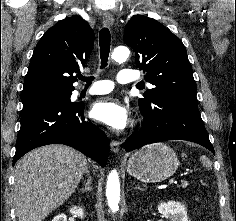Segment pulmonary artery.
Listing matches in <instances>:
<instances>
[{"mask_svg":"<svg viewBox=\"0 0 236 221\" xmlns=\"http://www.w3.org/2000/svg\"><path fill=\"white\" fill-rule=\"evenodd\" d=\"M117 81L119 83H131L139 79V75L131 70L122 69L117 74ZM94 85L84 91L87 95L106 94L113 90L114 84L110 80H94ZM82 93V90L76 91V95Z\"/></svg>","mask_w":236,"mask_h":221,"instance_id":"pulmonary-artery-1","label":"pulmonary artery"}]
</instances>
